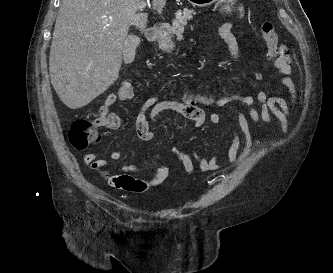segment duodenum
Instances as JSON below:
<instances>
[{"mask_svg": "<svg viewBox=\"0 0 333 273\" xmlns=\"http://www.w3.org/2000/svg\"><path fill=\"white\" fill-rule=\"evenodd\" d=\"M161 31H162L161 26L150 27L147 30V36L150 40H156L157 36L160 34Z\"/></svg>", "mask_w": 333, "mask_h": 273, "instance_id": "obj_1", "label": "duodenum"}]
</instances>
